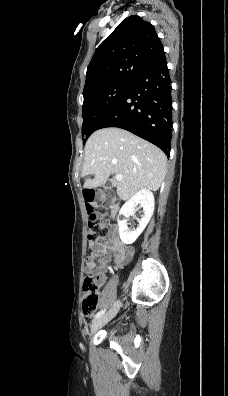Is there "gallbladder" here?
I'll return each mask as SVG.
<instances>
[{
	"label": "gallbladder",
	"instance_id": "1",
	"mask_svg": "<svg viewBox=\"0 0 228 396\" xmlns=\"http://www.w3.org/2000/svg\"><path fill=\"white\" fill-rule=\"evenodd\" d=\"M103 187H104L105 189H107V190H111V185H110V184H105Z\"/></svg>",
	"mask_w": 228,
	"mask_h": 396
}]
</instances>
